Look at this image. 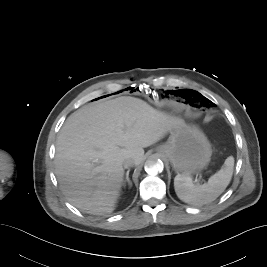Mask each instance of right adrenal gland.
Wrapping results in <instances>:
<instances>
[{"mask_svg": "<svg viewBox=\"0 0 267 267\" xmlns=\"http://www.w3.org/2000/svg\"><path fill=\"white\" fill-rule=\"evenodd\" d=\"M126 182L128 183L129 188H131V187H132V182H131L130 179H129V170L126 172L125 180H124L123 183H122L123 186H125Z\"/></svg>", "mask_w": 267, "mask_h": 267, "instance_id": "obj_1", "label": "right adrenal gland"}]
</instances>
